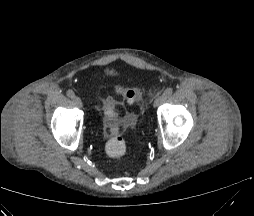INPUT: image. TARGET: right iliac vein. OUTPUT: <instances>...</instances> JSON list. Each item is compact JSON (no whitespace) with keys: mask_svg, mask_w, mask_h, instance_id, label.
<instances>
[{"mask_svg":"<svg viewBox=\"0 0 254 216\" xmlns=\"http://www.w3.org/2000/svg\"><path fill=\"white\" fill-rule=\"evenodd\" d=\"M73 101H74L75 105L78 106L79 108H81L83 106L82 100L79 97L75 96L73 98Z\"/></svg>","mask_w":254,"mask_h":216,"instance_id":"1","label":"right iliac vein"}]
</instances>
